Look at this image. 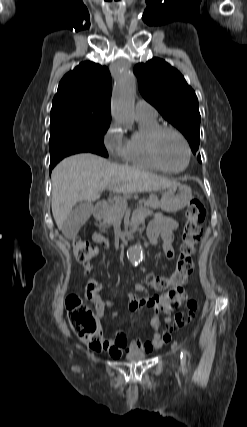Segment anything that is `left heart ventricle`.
I'll return each instance as SVG.
<instances>
[{
    "label": "left heart ventricle",
    "mask_w": 247,
    "mask_h": 427,
    "mask_svg": "<svg viewBox=\"0 0 247 427\" xmlns=\"http://www.w3.org/2000/svg\"><path fill=\"white\" fill-rule=\"evenodd\" d=\"M158 150L161 160L169 168L180 169L185 165L187 152L177 135L164 133L159 140Z\"/></svg>",
    "instance_id": "1"
}]
</instances>
